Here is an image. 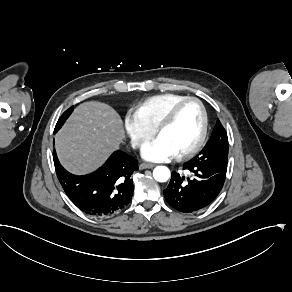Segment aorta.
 Returning a JSON list of instances; mask_svg holds the SVG:
<instances>
[{"mask_svg":"<svg viewBox=\"0 0 292 292\" xmlns=\"http://www.w3.org/2000/svg\"><path fill=\"white\" fill-rule=\"evenodd\" d=\"M153 177L158 182H166L170 178V170L166 166H157L153 170Z\"/></svg>","mask_w":292,"mask_h":292,"instance_id":"762f6f07","label":"aorta"}]
</instances>
